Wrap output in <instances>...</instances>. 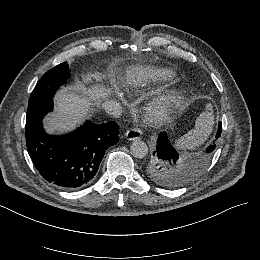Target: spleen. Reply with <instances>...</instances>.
<instances>
[{
	"instance_id": "obj_1",
	"label": "spleen",
	"mask_w": 260,
	"mask_h": 260,
	"mask_svg": "<svg viewBox=\"0 0 260 260\" xmlns=\"http://www.w3.org/2000/svg\"><path fill=\"white\" fill-rule=\"evenodd\" d=\"M207 108L210 110L211 105ZM213 115L210 111H205L197 117L195 122V128L190 130L187 134L182 136L177 145L183 149L193 148L206 140L210 132L212 131Z\"/></svg>"
}]
</instances>
